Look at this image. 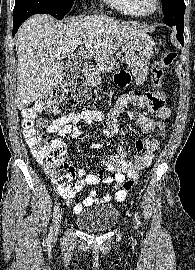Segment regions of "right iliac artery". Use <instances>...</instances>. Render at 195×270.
I'll return each mask as SVG.
<instances>
[{
  "instance_id": "1",
  "label": "right iliac artery",
  "mask_w": 195,
  "mask_h": 270,
  "mask_svg": "<svg viewBox=\"0 0 195 270\" xmlns=\"http://www.w3.org/2000/svg\"><path fill=\"white\" fill-rule=\"evenodd\" d=\"M58 211H59V204H57V205L54 207L53 221H54V218L56 217ZM52 236H53V226L50 228V232H49V235H48V239L51 240V239H52Z\"/></svg>"
}]
</instances>
